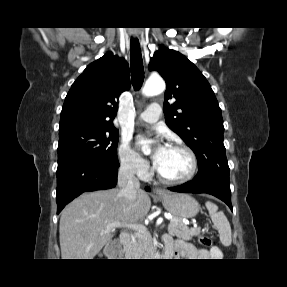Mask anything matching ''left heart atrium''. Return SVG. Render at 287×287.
<instances>
[{
	"mask_svg": "<svg viewBox=\"0 0 287 287\" xmlns=\"http://www.w3.org/2000/svg\"><path fill=\"white\" fill-rule=\"evenodd\" d=\"M148 143V140L144 139V138H140L138 140V145L142 146L144 144ZM166 146H164L162 143H160L159 141H156L155 144V149H154V154H153V160L155 162V165L159 162L161 156L163 155L164 151L166 150Z\"/></svg>",
	"mask_w": 287,
	"mask_h": 287,
	"instance_id": "39dd6f15",
	"label": "left heart atrium"
}]
</instances>
